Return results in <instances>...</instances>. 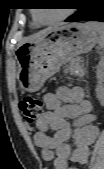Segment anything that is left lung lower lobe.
Listing matches in <instances>:
<instances>
[{
    "mask_svg": "<svg viewBox=\"0 0 104 169\" xmlns=\"http://www.w3.org/2000/svg\"><path fill=\"white\" fill-rule=\"evenodd\" d=\"M100 0H80L79 10L66 22L100 21L104 22V5Z\"/></svg>",
    "mask_w": 104,
    "mask_h": 169,
    "instance_id": "obj_1",
    "label": "left lung lower lobe"
}]
</instances>
